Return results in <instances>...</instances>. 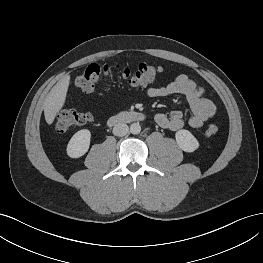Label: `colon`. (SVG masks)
Here are the masks:
<instances>
[{"mask_svg": "<svg viewBox=\"0 0 263 263\" xmlns=\"http://www.w3.org/2000/svg\"><path fill=\"white\" fill-rule=\"evenodd\" d=\"M161 73L157 65L141 63L135 68L121 65L91 64L76 79V85L84 92H92L97 84L104 79L116 75L131 87L140 89L154 81ZM92 115L76 109H62L56 115V128L60 132L72 130L92 121ZM218 126L211 124L206 130L207 136H214Z\"/></svg>", "mask_w": 263, "mask_h": 263, "instance_id": "1", "label": "colon"}]
</instances>
